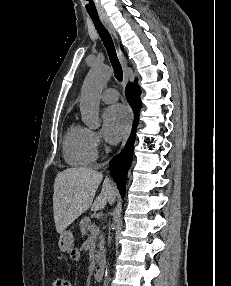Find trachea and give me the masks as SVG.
I'll return each instance as SVG.
<instances>
[{"label": "trachea", "mask_w": 231, "mask_h": 286, "mask_svg": "<svg viewBox=\"0 0 231 286\" xmlns=\"http://www.w3.org/2000/svg\"><path fill=\"white\" fill-rule=\"evenodd\" d=\"M89 16L91 17L97 32L99 34V36L101 37V40L107 50L111 65L114 69V75L116 77V79L118 80V82H122L123 81V71H122V67L120 65V62L118 60L117 54H116V50H115V46L112 40V37L110 35V33L108 32V30L105 28V26L102 24V22L99 19L98 14H91L89 13Z\"/></svg>", "instance_id": "trachea-1"}]
</instances>
